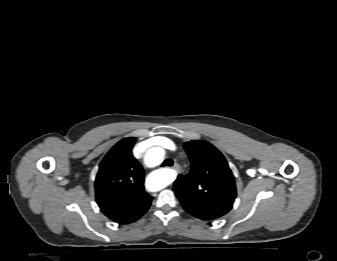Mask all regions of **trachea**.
I'll return each instance as SVG.
<instances>
[{
	"label": "trachea",
	"mask_w": 337,
	"mask_h": 261,
	"mask_svg": "<svg viewBox=\"0 0 337 261\" xmlns=\"http://www.w3.org/2000/svg\"><path fill=\"white\" fill-rule=\"evenodd\" d=\"M173 165V160L171 158L166 159L162 166H172Z\"/></svg>",
	"instance_id": "1"
}]
</instances>
